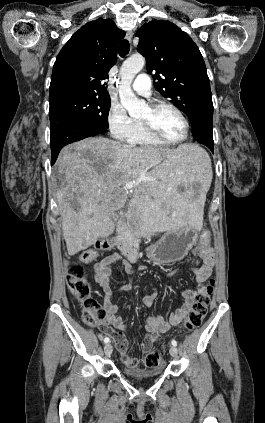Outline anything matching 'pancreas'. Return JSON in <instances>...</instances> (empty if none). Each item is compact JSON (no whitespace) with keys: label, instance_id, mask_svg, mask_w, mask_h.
I'll use <instances>...</instances> for the list:
<instances>
[{"label":"pancreas","instance_id":"1","mask_svg":"<svg viewBox=\"0 0 265 423\" xmlns=\"http://www.w3.org/2000/svg\"><path fill=\"white\" fill-rule=\"evenodd\" d=\"M143 234H142V232L141 231H134V230H129L128 232H127V236L131 239V240H134V241H137L138 240V238L140 237V236H142Z\"/></svg>","mask_w":265,"mask_h":423}]
</instances>
